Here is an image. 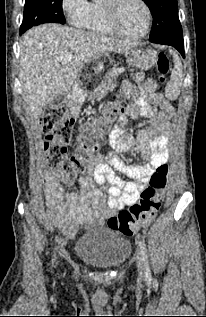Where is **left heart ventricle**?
<instances>
[{
	"label": "left heart ventricle",
	"mask_w": 206,
	"mask_h": 317,
	"mask_svg": "<svg viewBox=\"0 0 206 317\" xmlns=\"http://www.w3.org/2000/svg\"><path fill=\"white\" fill-rule=\"evenodd\" d=\"M117 23L122 31L134 35L146 25V12L137 0H123L117 11Z\"/></svg>",
	"instance_id": "b2bd125f"
}]
</instances>
